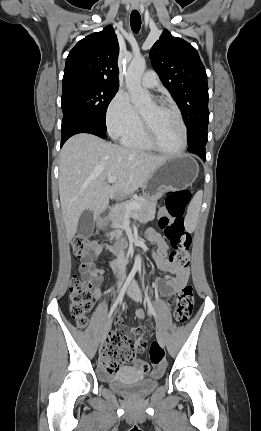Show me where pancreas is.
<instances>
[{
	"instance_id": "obj_1",
	"label": "pancreas",
	"mask_w": 261,
	"mask_h": 431,
	"mask_svg": "<svg viewBox=\"0 0 261 431\" xmlns=\"http://www.w3.org/2000/svg\"><path fill=\"white\" fill-rule=\"evenodd\" d=\"M128 203H139L140 207L136 209L127 210L124 204ZM124 204L116 205L112 208L109 218L111 221L112 228L120 229L122 224L128 217L135 219L149 218L155 214L157 198L147 199L144 196L133 198L125 202ZM115 232H120L119 230Z\"/></svg>"
}]
</instances>
